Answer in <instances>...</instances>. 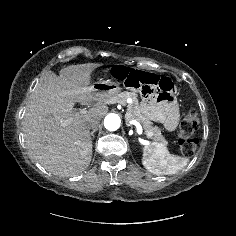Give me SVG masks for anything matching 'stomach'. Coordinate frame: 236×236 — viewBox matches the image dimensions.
Listing matches in <instances>:
<instances>
[{
	"mask_svg": "<svg viewBox=\"0 0 236 236\" xmlns=\"http://www.w3.org/2000/svg\"><path fill=\"white\" fill-rule=\"evenodd\" d=\"M92 88L95 93L103 96L105 99H111L121 92L119 83L111 80L96 82Z\"/></svg>",
	"mask_w": 236,
	"mask_h": 236,
	"instance_id": "obj_1",
	"label": "stomach"
}]
</instances>
